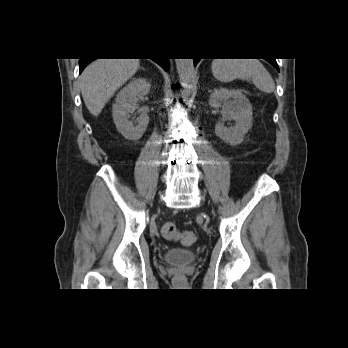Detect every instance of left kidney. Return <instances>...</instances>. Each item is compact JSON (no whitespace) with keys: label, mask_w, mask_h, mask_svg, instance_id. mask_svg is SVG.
I'll return each instance as SVG.
<instances>
[{"label":"left kidney","mask_w":348,"mask_h":348,"mask_svg":"<svg viewBox=\"0 0 348 348\" xmlns=\"http://www.w3.org/2000/svg\"><path fill=\"white\" fill-rule=\"evenodd\" d=\"M209 105L212 108L222 107L223 118L235 121V125L230 128L218 122L215 126L216 136L232 146L239 145L252 127L253 112L248 98L240 90L220 88L210 95Z\"/></svg>","instance_id":"left-kidney-1"}]
</instances>
